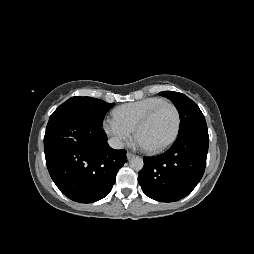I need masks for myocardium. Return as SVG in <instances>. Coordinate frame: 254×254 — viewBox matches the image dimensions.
Instances as JSON below:
<instances>
[{"label":"myocardium","mask_w":254,"mask_h":254,"mask_svg":"<svg viewBox=\"0 0 254 254\" xmlns=\"http://www.w3.org/2000/svg\"><path fill=\"white\" fill-rule=\"evenodd\" d=\"M164 106H170L175 111V114H176L175 129H174L172 136L164 144H162L158 147H155V148H146L145 147L146 151L151 154H157V153L163 152L164 150L169 148L177 139L179 131H180V126H181V115H180V111H179L178 107L173 102L164 101V102L160 103L159 105H157L156 107H154L150 112H148L139 121V123L135 127V136L138 137L140 130L144 126H146L153 119V117L159 112V110L162 109Z\"/></svg>","instance_id":"f54148a6"}]
</instances>
